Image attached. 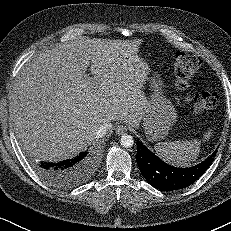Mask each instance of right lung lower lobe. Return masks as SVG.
<instances>
[{
  "label": "right lung lower lobe",
  "instance_id": "98d812e1",
  "mask_svg": "<svg viewBox=\"0 0 231 231\" xmlns=\"http://www.w3.org/2000/svg\"><path fill=\"white\" fill-rule=\"evenodd\" d=\"M96 150L81 152L77 157L65 161L41 162L36 164V171L49 184L69 189L79 186L93 174L97 167Z\"/></svg>",
  "mask_w": 231,
  "mask_h": 231
}]
</instances>
